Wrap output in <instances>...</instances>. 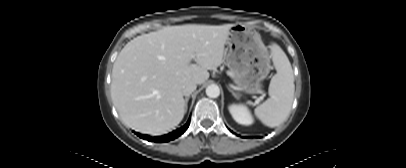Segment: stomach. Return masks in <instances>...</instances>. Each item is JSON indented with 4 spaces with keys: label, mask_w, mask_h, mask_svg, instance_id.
Segmentation results:
<instances>
[{
    "label": "stomach",
    "mask_w": 406,
    "mask_h": 168,
    "mask_svg": "<svg viewBox=\"0 0 406 168\" xmlns=\"http://www.w3.org/2000/svg\"><path fill=\"white\" fill-rule=\"evenodd\" d=\"M226 44V62L234 83L245 93L261 92V82L271 69V56L260 34L251 27L236 23L229 30Z\"/></svg>",
    "instance_id": "stomach-1"
}]
</instances>
